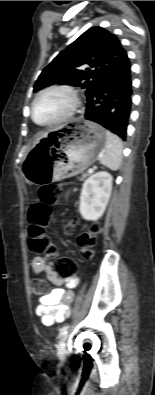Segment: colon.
<instances>
[{
    "label": "colon",
    "mask_w": 155,
    "mask_h": 395,
    "mask_svg": "<svg viewBox=\"0 0 155 395\" xmlns=\"http://www.w3.org/2000/svg\"><path fill=\"white\" fill-rule=\"evenodd\" d=\"M60 195V189L57 185H46L40 188L39 198L41 203L31 207L28 215L29 219V249L33 252L45 253L52 255L55 253V246L50 242L45 235L44 228L48 222L50 215V205L53 204ZM66 232L71 234L73 226L69 225ZM100 233V226L98 223L90 225L89 229L81 233L77 238V243L81 249V253L85 259H90L93 255V247L96 244L97 237ZM60 268L57 269V274L62 275V281H69V275H78V268L74 261L61 256L59 263ZM48 284L44 279L35 278L31 281V292L34 296H40L46 292Z\"/></svg>",
    "instance_id": "obj_1"
}]
</instances>
